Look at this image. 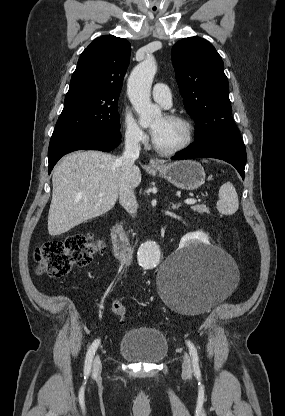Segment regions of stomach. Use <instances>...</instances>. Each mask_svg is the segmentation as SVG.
Masks as SVG:
<instances>
[{
	"label": "stomach",
	"instance_id": "stomach-1",
	"mask_svg": "<svg viewBox=\"0 0 285 416\" xmlns=\"http://www.w3.org/2000/svg\"><path fill=\"white\" fill-rule=\"evenodd\" d=\"M155 170L162 178L174 184L181 190H197L205 180V172L198 162L192 160H180L172 164H160Z\"/></svg>",
	"mask_w": 285,
	"mask_h": 416
}]
</instances>
